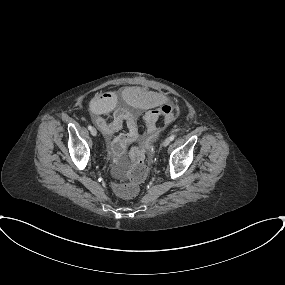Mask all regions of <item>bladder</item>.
<instances>
[{
  "label": "bladder",
  "mask_w": 285,
  "mask_h": 285,
  "mask_svg": "<svg viewBox=\"0 0 285 285\" xmlns=\"http://www.w3.org/2000/svg\"><path fill=\"white\" fill-rule=\"evenodd\" d=\"M119 99L120 101H127L128 100V91L127 90H122L120 93H119Z\"/></svg>",
  "instance_id": "1"
}]
</instances>
